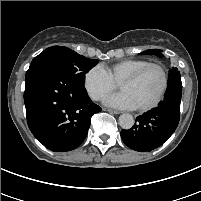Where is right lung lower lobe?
<instances>
[{"label": "right lung lower lobe", "instance_id": "obj_1", "mask_svg": "<svg viewBox=\"0 0 201 201\" xmlns=\"http://www.w3.org/2000/svg\"><path fill=\"white\" fill-rule=\"evenodd\" d=\"M24 102L32 134L54 152L77 148L86 138L91 117L101 111L73 73L50 64L30 66Z\"/></svg>", "mask_w": 201, "mask_h": 201}]
</instances>
